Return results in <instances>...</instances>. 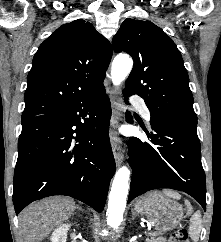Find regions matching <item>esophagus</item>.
Segmentation results:
<instances>
[{
	"instance_id": "34e87169",
	"label": "esophagus",
	"mask_w": 221,
	"mask_h": 242,
	"mask_svg": "<svg viewBox=\"0 0 221 242\" xmlns=\"http://www.w3.org/2000/svg\"><path fill=\"white\" fill-rule=\"evenodd\" d=\"M110 94H111V100H112L114 109H113L112 117H111V121H110L109 136H110V142H111V147H112L113 155L115 158L116 166L119 167L123 162L121 141L117 134V128H118L119 120H120L119 110H120L121 106L118 102L115 101V95H114L113 91H111Z\"/></svg>"
}]
</instances>
